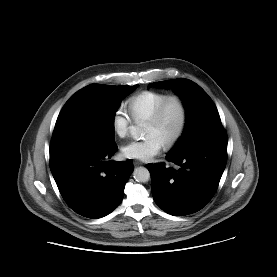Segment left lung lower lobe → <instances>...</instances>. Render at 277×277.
Wrapping results in <instances>:
<instances>
[{
    "label": "left lung lower lobe",
    "instance_id": "1",
    "mask_svg": "<svg viewBox=\"0 0 277 277\" xmlns=\"http://www.w3.org/2000/svg\"><path fill=\"white\" fill-rule=\"evenodd\" d=\"M178 170L147 164L155 203L166 213L181 216L202 209L214 196L227 162L224 130L200 136L181 154L166 156Z\"/></svg>",
    "mask_w": 277,
    "mask_h": 277
}]
</instances>
